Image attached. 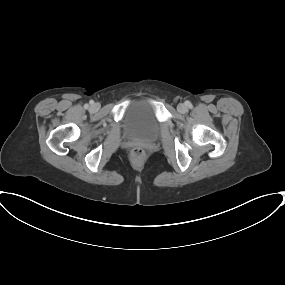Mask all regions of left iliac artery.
I'll list each match as a JSON object with an SVG mask.
<instances>
[{"label": "left iliac artery", "instance_id": "left-iliac-artery-1", "mask_svg": "<svg viewBox=\"0 0 285 285\" xmlns=\"http://www.w3.org/2000/svg\"><path fill=\"white\" fill-rule=\"evenodd\" d=\"M186 105L191 108L192 107V104L189 102V101H186Z\"/></svg>", "mask_w": 285, "mask_h": 285}]
</instances>
